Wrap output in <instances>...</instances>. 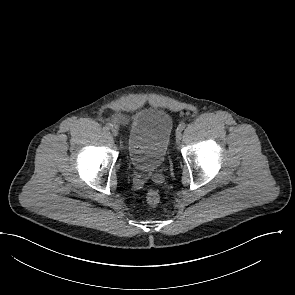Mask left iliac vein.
Here are the masks:
<instances>
[{"label": "left iliac vein", "mask_w": 295, "mask_h": 295, "mask_svg": "<svg viewBox=\"0 0 295 295\" xmlns=\"http://www.w3.org/2000/svg\"><path fill=\"white\" fill-rule=\"evenodd\" d=\"M181 136H182L181 131L177 130V131H176V142H177V143L180 142V140H181Z\"/></svg>", "instance_id": "left-iliac-vein-1"}]
</instances>
